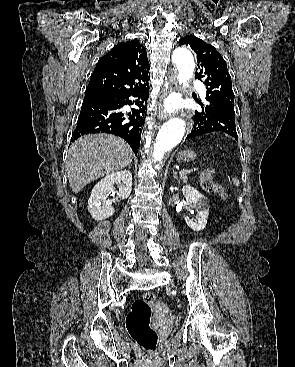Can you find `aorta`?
I'll list each match as a JSON object with an SVG mask.
<instances>
[{
	"mask_svg": "<svg viewBox=\"0 0 295 367\" xmlns=\"http://www.w3.org/2000/svg\"><path fill=\"white\" fill-rule=\"evenodd\" d=\"M173 62L175 63L179 75V84L188 87V81L192 78L195 63L191 52L187 49L178 48L173 52ZM186 124L180 118H173L164 123L156 137L152 156L155 161H161L165 152L177 146L185 135Z\"/></svg>",
	"mask_w": 295,
	"mask_h": 367,
	"instance_id": "obj_1",
	"label": "aorta"
}]
</instances>
